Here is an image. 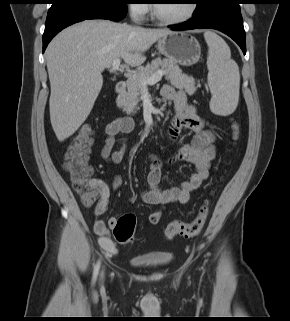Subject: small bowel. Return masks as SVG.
<instances>
[{
	"label": "small bowel",
	"mask_w": 290,
	"mask_h": 321,
	"mask_svg": "<svg viewBox=\"0 0 290 321\" xmlns=\"http://www.w3.org/2000/svg\"><path fill=\"white\" fill-rule=\"evenodd\" d=\"M161 93L165 99L172 101L175 105V116L170 121L167 130L168 139L170 141L176 140L183 129L192 130L195 132V137L191 144L180 147L165 161L158 157L152 158L151 168L147 176L148 189L141 192V198L144 202L159 207L148 217V223L151 225L160 222L163 216V208L167 204L173 202L187 204L189 202L191 194L208 178L211 162L216 156L215 136L206 128L204 120L197 115L195 107L188 103L185 90L165 85ZM134 127L135 123L131 117L116 118L106 126V137L100 151L101 157L105 161L112 164H119L122 161L126 152V139H122L119 150L112 151L115 138L130 133ZM175 161L187 162L194 166L195 171L179 187L161 189L159 184L164 165ZM91 184L96 189L99 198L93 211L94 231L100 236L101 246L108 252H114V246L108 239V233L109 228L115 225L117 219L112 217L106 224L101 216L107 211L111 192L121 187L122 178L120 175H115L111 187L100 178L91 179Z\"/></svg>",
	"instance_id": "obj_1"
}]
</instances>
